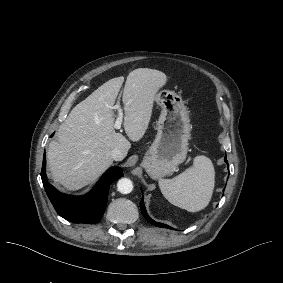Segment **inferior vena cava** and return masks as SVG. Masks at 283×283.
Returning <instances> with one entry per match:
<instances>
[{
	"mask_svg": "<svg viewBox=\"0 0 283 283\" xmlns=\"http://www.w3.org/2000/svg\"><path fill=\"white\" fill-rule=\"evenodd\" d=\"M111 156L114 161H122L125 158V155L118 149L113 150Z\"/></svg>",
	"mask_w": 283,
	"mask_h": 283,
	"instance_id": "inferior-vena-cava-1",
	"label": "inferior vena cava"
}]
</instances>
